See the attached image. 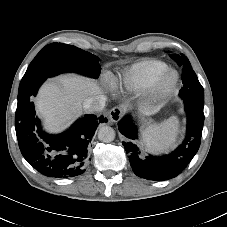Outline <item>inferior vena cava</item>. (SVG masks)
Returning a JSON list of instances; mask_svg holds the SVG:
<instances>
[{"label": "inferior vena cava", "instance_id": "1", "mask_svg": "<svg viewBox=\"0 0 227 227\" xmlns=\"http://www.w3.org/2000/svg\"><path fill=\"white\" fill-rule=\"evenodd\" d=\"M105 101L106 98L103 95L88 97L83 101V107L89 113H98L104 109Z\"/></svg>", "mask_w": 227, "mask_h": 227}]
</instances>
